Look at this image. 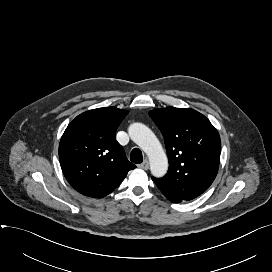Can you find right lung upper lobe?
<instances>
[{"instance_id": "right-lung-upper-lobe-1", "label": "right lung upper lobe", "mask_w": 272, "mask_h": 272, "mask_svg": "<svg viewBox=\"0 0 272 272\" xmlns=\"http://www.w3.org/2000/svg\"><path fill=\"white\" fill-rule=\"evenodd\" d=\"M127 114L115 107L93 109L78 115L66 128L59 160L65 178L79 193L102 198L136 168L115 138Z\"/></svg>"}]
</instances>
